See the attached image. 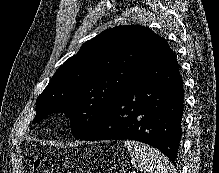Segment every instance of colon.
Segmentation results:
<instances>
[{
    "label": "colon",
    "instance_id": "colon-1",
    "mask_svg": "<svg viewBox=\"0 0 219 173\" xmlns=\"http://www.w3.org/2000/svg\"><path fill=\"white\" fill-rule=\"evenodd\" d=\"M54 162L49 159H38L34 162L32 173H53Z\"/></svg>",
    "mask_w": 219,
    "mask_h": 173
}]
</instances>
